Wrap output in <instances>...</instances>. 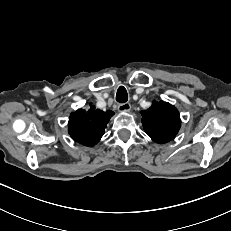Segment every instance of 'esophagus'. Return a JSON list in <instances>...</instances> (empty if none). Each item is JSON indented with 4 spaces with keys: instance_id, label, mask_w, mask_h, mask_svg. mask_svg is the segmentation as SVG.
Wrapping results in <instances>:
<instances>
[{
    "instance_id": "34e87169",
    "label": "esophagus",
    "mask_w": 231,
    "mask_h": 231,
    "mask_svg": "<svg viewBox=\"0 0 231 231\" xmlns=\"http://www.w3.org/2000/svg\"><path fill=\"white\" fill-rule=\"evenodd\" d=\"M118 110L121 113L129 112L131 110V105L128 102L121 103V104L118 105Z\"/></svg>"
}]
</instances>
